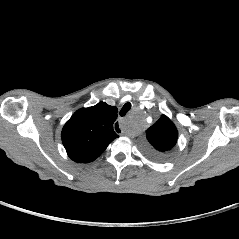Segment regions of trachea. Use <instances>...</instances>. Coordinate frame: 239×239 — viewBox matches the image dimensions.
I'll use <instances>...</instances> for the list:
<instances>
[{"instance_id": "1", "label": "trachea", "mask_w": 239, "mask_h": 239, "mask_svg": "<svg viewBox=\"0 0 239 239\" xmlns=\"http://www.w3.org/2000/svg\"><path fill=\"white\" fill-rule=\"evenodd\" d=\"M130 108H131V103L124 104V106L122 107L120 111V116H125V114L130 110Z\"/></svg>"}]
</instances>
